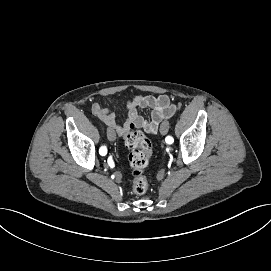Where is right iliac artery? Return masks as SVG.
I'll return each instance as SVG.
<instances>
[{"label": "right iliac artery", "mask_w": 271, "mask_h": 271, "mask_svg": "<svg viewBox=\"0 0 271 271\" xmlns=\"http://www.w3.org/2000/svg\"><path fill=\"white\" fill-rule=\"evenodd\" d=\"M104 142H105V140H104ZM106 151H107L106 146L105 147H101V154H106Z\"/></svg>", "instance_id": "right-iliac-artery-1"}]
</instances>
